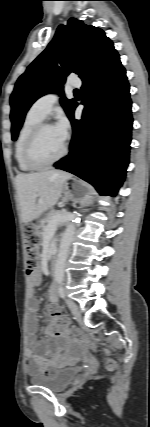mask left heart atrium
<instances>
[{
  "instance_id": "39dd6f15",
  "label": "left heart atrium",
  "mask_w": 150,
  "mask_h": 427,
  "mask_svg": "<svg viewBox=\"0 0 150 427\" xmlns=\"http://www.w3.org/2000/svg\"><path fill=\"white\" fill-rule=\"evenodd\" d=\"M56 127L60 131L64 139L66 140L69 136V130H70V124L67 118L62 117Z\"/></svg>"
}]
</instances>
